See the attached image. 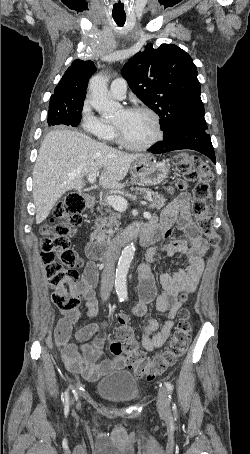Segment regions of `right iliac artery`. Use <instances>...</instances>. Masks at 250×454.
<instances>
[{"mask_svg": "<svg viewBox=\"0 0 250 454\" xmlns=\"http://www.w3.org/2000/svg\"><path fill=\"white\" fill-rule=\"evenodd\" d=\"M120 302H122V300H120ZM68 390H69V388H68ZM68 390L64 393V396H65V408L66 409L68 408V400H69Z\"/></svg>", "mask_w": 250, "mask_h": 454, "instance_id": "obj_1", "label": "right iliac artery"}]
</instances>
